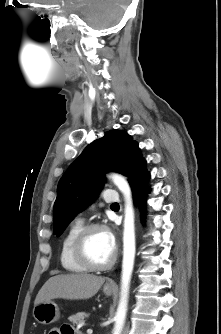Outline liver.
Wrapping results in <instances>:
<instances>
[{"label":"liver","instance_id":"1","mask_svg":"<svg viewBox=\"0 0 221 334\" xmlns=\"http://www.w3.org/2000/svg\"><path fill=\"white\" fill-rule=\"evenodd\" d=\"M104 282V277L86 273L56 275L42 286L34 305L56 298L89 299L98 292Z\"/></svg>","mask_w":221,"mask_h":334}]
</instances>
